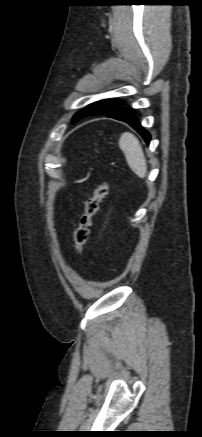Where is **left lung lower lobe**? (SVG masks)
Returning a JSON list of instances; mask_svg holds the SVG:
<instances>
[{
  "label": "left lung lower lobe",
  "instance_id": "obj_1",
  "mask_svg": "<svg viewBox=\"0 0 202 437\" xmlns=\"http://www.w3.org/2000/svg\"><path fill=\"white\" fill-rule=\"evenodd\" d=\"M109 118H114L123 122L128 123L132 128H134L145 140L147 144H149L151 136L147 130L142 128L136 118L135 111L130 108H122L119 107L112 112L105 114Z\"/></svg>",
  "mask_w": 202,
  "mask_h": 437
}]
</instances>
